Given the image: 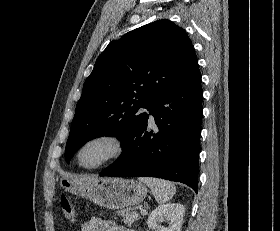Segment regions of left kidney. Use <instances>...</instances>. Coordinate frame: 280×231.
Segmentation results:
<instances>
[{
	"label": "left kidney",
	"instance_id": "obj_1",
	"mask_svg": "<svg viewBox=\"0 0 280 231\" xmlns=\"http://www.w3.org/2000/svg\"><path fill=\"white\" fill-rule=\"evenodd\" d=\"M184 213L185 207L182 203H164L150 213L147 219L148 227L155 231H180ZM161 221H167V227L160 225Z\"/></svg>",
	"mask_w": 280,
	"mask_h": 231
}]
</instances>
